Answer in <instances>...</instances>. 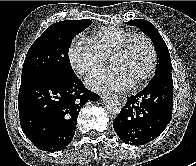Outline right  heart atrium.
I'll return each mask as SVG.
<instances>
[{
	"label": "right heart atrium",
	"instance_id": "d8ad5b80",
	"mask_svg": "<svg viewBox=\"0 0 196 166\" xmlns=\"http://www.w3.org/2000/svg\"><path fill=\"white\" fill-rule=\"evenodd\" d=\"M68 57L71 65L80 75H87L102 67L106 62V58L92 41L82 36L73 38L68 50Z\"/></svg>",
	"mask_w": 196,
	"mask_h": 166
}]
</instances>
